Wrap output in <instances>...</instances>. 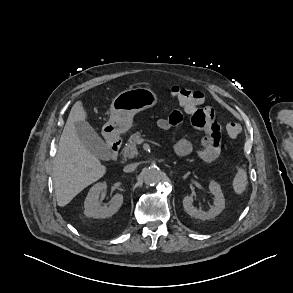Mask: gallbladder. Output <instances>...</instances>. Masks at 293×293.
<instances>
[{"instance_id":"obj_1","label":"gallbladder","mask_w":293,"mask_h":293,"mask_svg":"<svg viewBox=\"0 0 293 293\" xmlns=\"http://www.w3.org/2000/svg\"><path fill=\"white\" fill-rule=\"evenodd\" d=\"M75 131L84 147L94 156L102 160L107 157V145L87 121L75 122Z\"/></svg>"}]
</instances>
